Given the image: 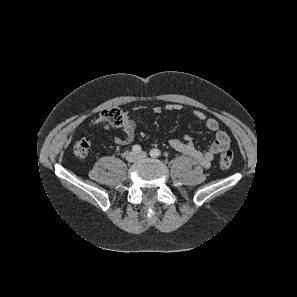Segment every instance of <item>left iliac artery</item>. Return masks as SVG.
Listing matches in <instances>:
<instances>
[{"mask_svg":"<svg viewBox=\"0 0 297 297\" xmlns=\"http://www.w3.org/2000/svg\"><path fill=\"white\" fill-rule=\"evenodd\" d=\"M150 155H151L152 157H158V156L161 155V151H160L159 149H152V150L150 151Z\"/></svg>","mask_w":297,"mask_h":297,"instance_id":"left-iliac-artery-1","label":"left iliac artery"}]
</instances>
